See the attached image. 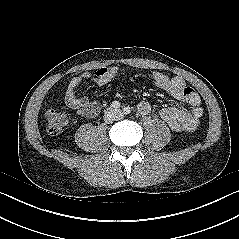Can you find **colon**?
I'll return each instance as SVG.
<instances>
[{"mask_svg":"<svg viewBox=\"0 0 239 239\" xmlns=\"http://www.w3.org/2000/svg\"><path fill=\"white\" fill-rule=\"evenodd\" d=\"M183 95L186 102L191 106H198L200 103L199 94L192 87H185ZM71 122V116L63 110H49L46 113L47 130L50 134L60 133Z\"/></svg>","mask_w":239,"mask_h":239,"instance_id":"obj_1","label":"colon"}]
</instances>
